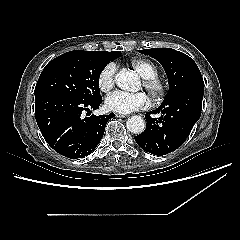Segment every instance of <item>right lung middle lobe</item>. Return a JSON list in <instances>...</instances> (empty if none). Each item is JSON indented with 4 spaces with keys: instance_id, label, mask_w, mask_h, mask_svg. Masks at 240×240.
Returning a JSON list of instances; mask_svg holds the SVG:
<instances>
[{
    "instance_id": "dd1d6c3e",
    "label": "right lung middle lobe",
    "mask_w": 240,
    "mask_h": 240,
    "mask_svg": "<svg viewBox=\"0 0 240 240\" xmlns=\"http://www.w3.org/2000/svg\"><path fill=\"white\" fill-rule=\"evenodd\" d=\"M120 55L116 51L75 50L64 53L45 66L34 94H64L86 102L102 99L99 91L100 73L108 62Z\"/></svg>"
}]
</instances>
